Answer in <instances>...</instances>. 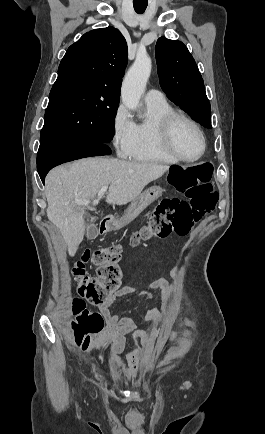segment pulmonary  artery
Listing matches in <instances>:
<instances>
[{
  "label": "pulmonary artery",
  "instance_id": "e3ab8cb5",
  "mask_svg": "<svg viewBox=\"0 0 265 434\" xmlns=\"http://www.w3.org/2000/svg\"><path fill=\"white\" fill-rule=\"evenodd\" d=\"M164 98V91H159L157 87H150L145 93L144 101L147 103H161Z\"/></svg>",
  "mask_w": 265,
  "mask_h": 434
}]
</instances>
